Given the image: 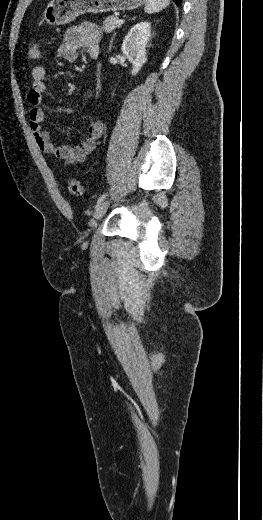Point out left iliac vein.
Wrapping results in <instances>:
<instances>
[{
	"label": "left iliac vein",
	"instance_id": "1",
	"mask_svg": "<svg viewBox=\"0 0 263 520\" xmlns=\"http://www.w3.org/2000/svg\"><path fill=\"white\" fill-rule=\"evenodd\" d=\"M108 206H109V201L105 200L96 207V210L94 212V219L96 221L100 220L103 217V215L105 214V212L108 209Z\"/></svg>",
	"mask_w": 263,
	"mask_h": 520
}]
</instances>
